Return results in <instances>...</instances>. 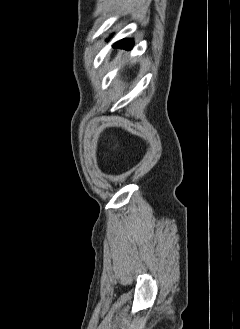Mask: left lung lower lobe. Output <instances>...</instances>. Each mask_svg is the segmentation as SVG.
I'll use <instances>...</instances> for the list:
<instances>
[{"label":"left lung lower lobe","instance_id":"1","mask_svg":"<svg viewBox=\"0 0 240 329\" xmlns=\"http://www.w3.org/2000/svg\"><path fill=\"white\" fill-rule=\"evenodd\" d=\"M133 39H123L114 44V47L130 49L133 46Z\"/></svg>","mask_w":240,"mask_h":329}]
</instances>
